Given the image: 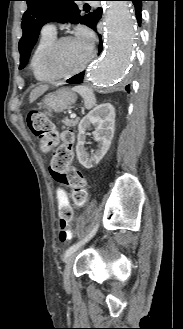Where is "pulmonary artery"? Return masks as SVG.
<instances>
[{
    "mask_svg": "<svg viewBox=\"0 0 183 329\" xmlns=\"http://www.w3.org/2000/svg\"><path fill=\"white\" fill-rule=\"evenodd\" d=\"M43 32L46 33H54L56 34V26L54 23H47L46 25H44L43 27Z\"/></svg>",
    "mask_w": 183,
    "mask_h": 329,
    "instance_id": "e3ab8cb5",
    "label": "pulmonary artery"
}]
</instances>
